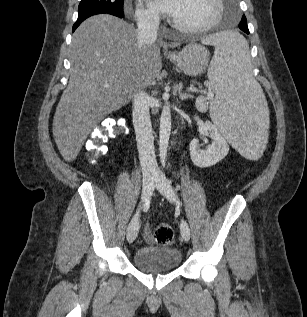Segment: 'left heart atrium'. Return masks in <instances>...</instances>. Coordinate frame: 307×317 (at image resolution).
<instances>
[{
  "mask_svg": "<svg viewBox=\"0 0 307 317\" xmlns=\"http://www.w3.org/2000/svg\"><path fill=\"white\" fill-rule=\"evenodd\" d=\"M182 0H149V5L156 11L175 15L181 5Z\"/></svg>",
  "mask_w": 307,
  "mask_h": 317,
  "instance_id": "obj_1",
  "label": "left heart atrium"
}]
</instances>
